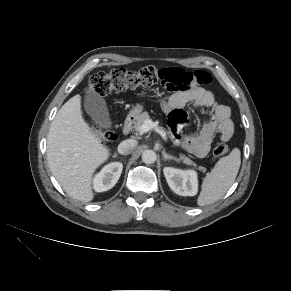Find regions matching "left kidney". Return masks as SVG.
I'll return each instance as SVG.
<instances>
[{"mask_svg": "<svg viewBox=\"0 0 291 291\" xmlns=\"http://www.w3.org/2000/svg\"><path fill=\"white\" fill-rule=\"evenodd\" d=\"M171 190L181 196H195L198 192V177L194 170H182L173 167L163 169Z\"/></svg>", "mask_w": 291, "mask_h": 291, "instance_id": "obj_1", "label": "left kidney"}]
</instances>
